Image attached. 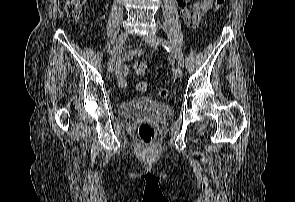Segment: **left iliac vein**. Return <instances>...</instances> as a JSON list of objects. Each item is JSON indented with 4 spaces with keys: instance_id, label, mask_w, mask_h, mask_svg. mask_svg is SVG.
<instances>
[{
    "instance_id": "1",
    "label": "left iliac vein",
    "mask_w": 295,
    "mask_h": 202,
    "mask_svg": "<svg viewBox=\"0 0 295 202\" xmlns=\"http://www.w3.org/2000/svg\"><path fill=\"white\" fill-rule=\"evenodd\" d=\"M144 41L154 48H156L157 46H159L161 44L159 42V39L157 38V36L153 35V34H148V35L144 36ZM175 74L179 78H181L183 76V71L179 66L176 67Z\"/></svg>"
}]
</instances>
